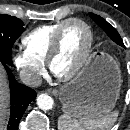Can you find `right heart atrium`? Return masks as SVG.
<instances>
[{"mask_svg": "<svg viewBox=\"0 0 130 130\" xmlns=\"http://www.w3.org/2000/svg\"><path fill=\"white\" fill-rule=\"evenodd\" d=\"M21 79L29 86H37L45 74L44 62L33 58L26 50H17L12 57Z\"/></svg>", "mask_w": 130, "mask_h": 130, "instance_id": "1", "label": "right heart atrium"}]
</instances>
